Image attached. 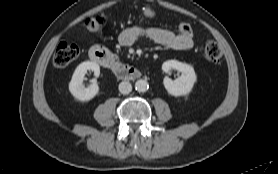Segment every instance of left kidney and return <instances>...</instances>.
<instances>
[{
    "label": "left kidney",
    "mask_w": 278,
    "mask_h": 174,
    "mask_svg": "<svg viewBox=\"0 0 278 174\" xmlns=\"http://www.w3.org/2000/svg\"><path fill=\"white\" fill-rule=\"evenodd\" d=\"M171 69L181 72V76L175 80H171L167 76L164 78L163 84L167 92L175 97L189 94L197 81L194 68L177 60H168L162 64V70L165 73H168Z\"/></svg>",
    "instance_id": "obj_1"
}]
</instances>
